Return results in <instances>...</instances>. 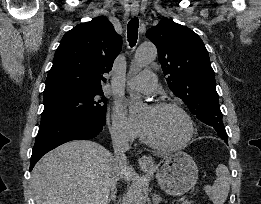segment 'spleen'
Masks as SVG:
<instances>
[{"mask_svg":"<svg viewBox=\"0 0 261 204\" xmlns=\"http://www.w3.org/2000/svg\"><path fill=\"white\" fill-rule=\"evenodd\" d=\"M216 180L212 186H204V190L213 204H224L227 199L231 178L228 168L224 164H219L216 168Z\"/></svg>","mask_w":261,"mask_h":204,"instance_id":"3e777b00","label":"spleen"}]
</instances>
